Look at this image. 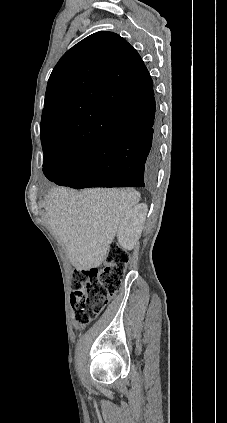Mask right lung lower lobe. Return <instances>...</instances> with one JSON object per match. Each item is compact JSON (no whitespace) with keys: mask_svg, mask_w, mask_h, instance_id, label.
Masks as SVG:
<instances>
[{"mask_svg":"<svg viewBox=\"0 0 227 423\" xmlns=\"http://www.w3.org/2000/svg\"><path fill=\"white\" fill-rule=\"evenodd\" d=\"M109 118L125 119L131 127L105 139L75 160L43 164L44 175L60 186L144 187L156 180L160 157V129L155 119L154 92L144 100L104 107Z\"/></svg>","mask_w":227,"mask_h":423,"instance_id":"right-lung-lower-lobe-1","label":"right lung lower lobe"}]
</instances>
